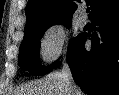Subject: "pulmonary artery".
<instances>
[{
  "instance_id": "1",
  "label": "pulmonary artery",
  "mask_w": 119,
  "mask_h": 95,
  "mask_svg": "<svg viewBox=\"0 0 119 95\" xmlns=\"http://www.w3.org/2000/svg\"><path fill=\"white\" fill-rule=\"evenodd\" d=\"M78 21H79V24H80L81 26L86 25V23H87V18H86V16L84 15V13H81V14H80Z\"/></svg>"
}]
</instances>
